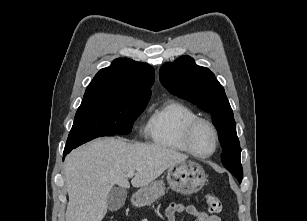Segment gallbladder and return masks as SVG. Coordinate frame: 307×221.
Wrapping results in <instances>:
<instances>
[{
  "instance_id": "gallbladder-1",
  "label": "gallbladder",
  "mask_w": 307,
  "mask_h": 221,
  "mask_svg": "<svg viewBox=\"0 0 307 221\" xmlns=\"http://www.w3.org/2000/svg\"><path fill=\"white\" fill-rule=\"evenodd\" d=\"M127 197L126 189L122 187L112 188L107 197V207L110 211L119 210L125 203Z\"/></svg>"
}]
</instances>
